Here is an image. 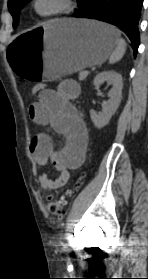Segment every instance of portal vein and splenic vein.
<instances>
[{"instance_id": "portal-vein-and-splenic-vein-1", "label": "portal vein and splenic vein", "mask_w": 148, "mask_h": 279, "mask_svg": "<svg viewBox=\"0 0 148 279\" xmlns=\"http://www.w3.org/2000/svg\"><path fill=\"white\" fill-rule=\"evenodd\" d=\"M89 74V72L88 71H85V72H83V76H87Z\"/></svg>"}]
</instances>
